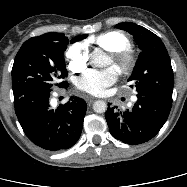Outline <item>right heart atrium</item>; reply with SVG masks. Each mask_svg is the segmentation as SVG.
<instances>
[{"label": "right heart atrium", "mask_w": 187, "mask_h": 187, "mask_svg": "<svg viewBox=\"0 0 187 187\" xmlns=\"http://www.w3.org/2000/svg\"><path fill=\"white\" fill-rule=\"evenodd\" d=\"M66 61L69 69L74 73L85 70L89 61V48L85 42H77L66 52Z\"/></svg>", "instance_id": "right-heart-atrium-1"}]
</instances>
